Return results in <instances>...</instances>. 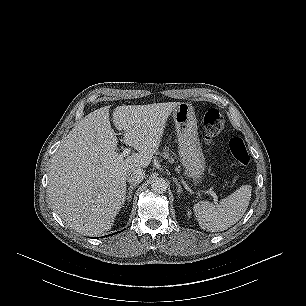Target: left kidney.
<instances>
[{
  "label": "left kidney",
  "mask_w": 306,
  "mask_h": 306,
  "mask_svg": "<svg viewBox=\"0 0 306 306\" xmlns=\"http://www.w3.org/2000/svg\"><path fill=\"white\" fill-rule=\"evenodd\" d=\"M186 208H187V207H186ZM187 216H188L189 218H191V211H190L189 208H187Z\"/></svg>",
  "instance_id": "obj_1"
}]
</instances>
